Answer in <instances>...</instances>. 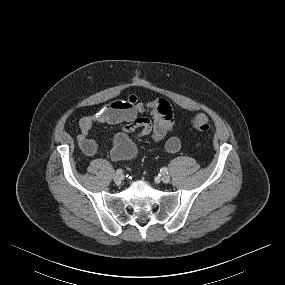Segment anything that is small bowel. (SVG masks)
Segmentation results:
<instances>
[{
  "instance_id": "c3829d8e",
  "label": "small bowel",
  "mask_w": 285,
  "mask_h": 285,
  "mask_svg": "<svg viewBox=\"0 0 285 285\" xmlns=\"http://www.w3.org/2000/svg\"><path fill=\"white\" fill-rule=\"evenodd\" d=\"M149 114L151 117L142 116ZM95 123H125L122 130L126 133L140 130L139 137L150 135L154 143L165 141V150L176 153L181 141L175 134L173 112L165 99L140 101L134 94L125 100L108 103L79 121L80 132L77 141L87 155L97 152V144L89 138V132Z\"/></svg>"
}]
</instances>
